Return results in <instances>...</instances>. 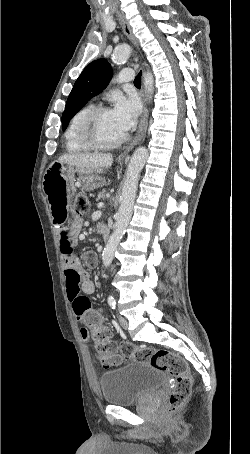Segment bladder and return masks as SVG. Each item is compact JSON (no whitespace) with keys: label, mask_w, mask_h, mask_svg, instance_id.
Segmentation results:
<instances>
[{"label":"bladder","mask_w":250,"mask_h":454,"mask_svg":"<svg viewBox=\"0 0 250 454\" xmlns=\"http://www.w3.org/2000/svg\"><path fill=\"white\" fill-rule=\"evenodd\" d=\"M164 380L163 373L149 363L130 361L101 374L99 384L107 404L127 406L158 390Z\"/></svg>","instance_id":"1"}]
</instances>
